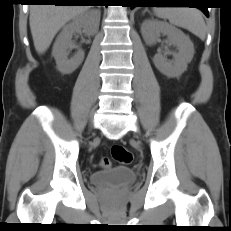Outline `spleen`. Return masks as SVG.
Returning a JSON list of instances; mask_svg holds the SVG:
<instances>
[{
	"label": "spleen",
	"instance_id": "spleen-1",
	"mask_svg": "<svg viewBox=\"0 0 231 231\" xmlns=\"http://www.w3.org/2000/svg\"><path fill=\"white\" fill-rule=\"evenodd\" d=\"M156 16L168 19L175 26L187 29L201 40L206 36V25L201 12L189 7H157Z\"/></svg>",
	"mask_w": 231,
	"mask_h": 231
}]
</instances>
